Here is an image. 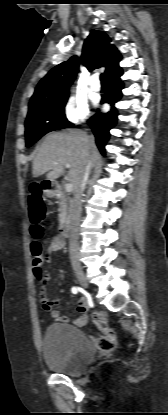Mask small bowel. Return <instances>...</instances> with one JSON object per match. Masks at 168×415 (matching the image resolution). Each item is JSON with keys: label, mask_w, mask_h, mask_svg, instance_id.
Returning a JSON list of instances; mask_svg holds the SVG:
<instances>
[{"label": "small bowel", "mask_w": 168, "mask_h": 415, "mask_svg": "<svg viewBox=\"0 0 168 415\" xmlns=\"http://www.w3.org/2000/svg\"><path fill=\"white\" fill-rule=\"evenodd\" d=\"M65 245L64 238L62 236H54L52 237L49 245L46 248V256L47 259L56 252L61 250ZM41 302L42 307L46 312H49L50 315L58 322L61 323H71L77 327H82L87 323L88 320V305L85 299H81L77 303V311L79 312V316L75 317L71 321L64 315L61 314L59 310L54 309L55 305L59 304L58 299L49 300L45 294V291L42 290L41 294Z\"/></svg>", "instance_id": "c3829d8e"}]
</instances>
